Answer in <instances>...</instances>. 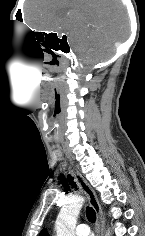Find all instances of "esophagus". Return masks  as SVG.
Segmentation results:
<instances>
[{"label":"esophagus","instance_id":"34e87169","mask_svg":"<svg viewBox=\"0 0 145 236\" xmlns=\"http://www.w3.org/2000/svg\"><path fill=\"white\" fill-rule=\"evenodd\" d=\"M67 158L69 160L72 174L74 175V177H75L78 185L82 189V191L87 195L89 203L96 213V218H97V220H96V236H103V234H104V218H103V212L101 209V205L99 204L96 193L91 188L89 183L85 180V178L82 176L80 171L74 166V162L72 161V159L70 158V156L68 154H67Z\"/></svg>","mask_w":145,"mask_h":236}]
</instances>
